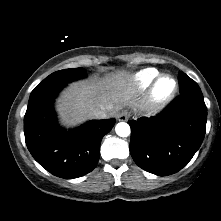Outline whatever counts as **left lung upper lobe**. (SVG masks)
Instances as JSON below:
<instances>
[{"instance_id":"obj_1","label":"left lung upper lobe","mask_w":221,"mask_h":221,"mask_svg":"<svg viewBox=\"0 0 221 221\" xmlns=\"http://www.w3.org/2000/svg\"><path fill=\"white\" fill-rule=\"evenodd\" d=\"M179 92L184 93H202L198 84L189 78L185 73L180 72L179 76Z\"/></svg>"}]
</instances>
